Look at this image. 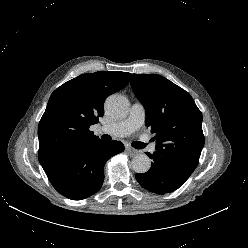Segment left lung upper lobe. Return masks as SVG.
Wrapping results in <instances>:
<instances>
[{
  "mask_svg": "<svg viewBox=\"0 0 248 248\" xmlns=\"http://www.w3.org/2000/svg\"><path fill=\"white\" fill-rule=\"evenodd\" d=\"M130 83L145 108V124L155 134L154 156L189 177L204 146L202 113L193 98L158 74H133Z\"/></svg>",
  "mask_w": 248,
  "mask_h": 248,
  "instance_id": "1",
  "label": "left lung upper lobe"
}]
</instances>
